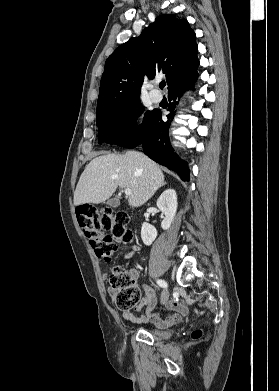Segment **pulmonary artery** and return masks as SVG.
I'll list each match as a JSON object with an SVG mask.
<instances>
[{
	"label": "pulmonary artery",
	"instance_id": "pulmonary-artery-1",
	"mask_svg": "<svg viewBox=\"0 0 279 391\" xmlns=\"http://www.w3.org/2000/svg\"><path fill=\"white\" fill-rule=\"evenodd\" d=\"M149 96L151 100L155 103L160 102L162 100V94L158 90L153 88L149 89Z\"/></svg>",
	"mask_w": 279,
	"mask_h": 391
}]
</instances>
